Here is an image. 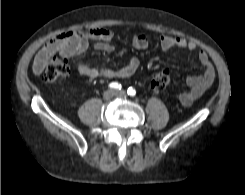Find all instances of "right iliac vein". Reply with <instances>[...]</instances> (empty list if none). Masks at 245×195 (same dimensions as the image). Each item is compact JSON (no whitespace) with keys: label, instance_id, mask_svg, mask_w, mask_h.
Returning a JSON list of instances; mask_svg holds the SVG:
<instances>
[{"label":"right iliac vein","instance_id":"1","mask_svg":"<svg viewBox=\"0 0 245 195\" xmlns=\"http://www.w3.org/2000/svg\"><path fill=\"white\" fill-rule=\"evenodd\" d=\"M115 95V91L113 90H108L103 94V98L105 100H110L113 96Z\"/></svg>","mask_w":245,"mask_h":195}]
</instances>
